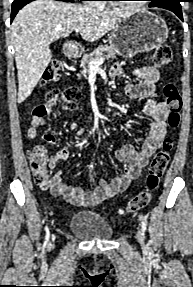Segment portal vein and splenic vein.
Here are the masks:
<instances>
[{
    "label": "portal vein and splenic vein",
    "mask_w": 193,
    "mask_h": 287,
    "mask_svg": "<svg viewBox=\"0 0 193 287\" xmlns=\"http://www.w3.org/2000/svg\"><path fill=\"white\" fill-rule=\"evenodd\" d=\"M81 30H82V27L79 26V27H77V28L75 29V32L78 33V32H80ZM104 60H105L104 58H101V59H99L98 61H91V62H90V68H91V69H97L101 64H103Z\"/></svg>",
    "instance_id": "1"
}]
</instances>
